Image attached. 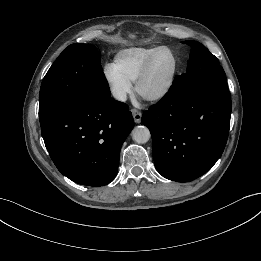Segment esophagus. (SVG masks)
Wrapping results in <instances>:
<instances>
[{
	"label": "esophagus",
	"instance_id": "1",
	"mask_svg": "<svg viewBox=\"0 0 261 261\" xmlns=\"http://www.w3.org/2000/svg\"><path fill=\"white\" fill-rule=\"evenodd\" d=\"M131 112H132L134 121H135L136 123H140V122H141V118H142L141 112L138 111V110H136V109H132Z\"/></svg>",
	"mask_w": 261,
	"mask_h": 261
}]
</instances>
